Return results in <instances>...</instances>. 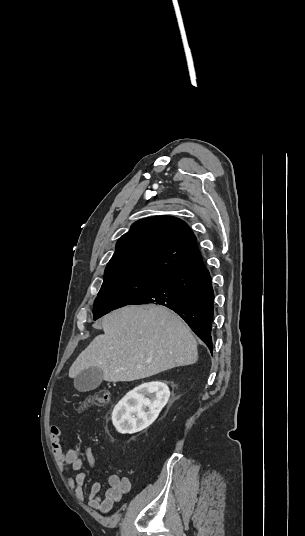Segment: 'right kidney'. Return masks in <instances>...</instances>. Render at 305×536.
I'll return each mask as SVG.
<instances>
[{
  "label": "right kidney",
  "mask_w": 305,
  "mask_h": 536,
  "mask_svg": "<svg viewBox=\"0 0 305 536\" xmlns=\"http://www.w3.org/2000/svg\"><path fill=\"white\" fill-rule=\"evenodd\" d=\"M145 396H151V400ZM169 398L170 390L164 382L141 384L115 406L112 414L113 426L120 434L141 432L158 418Z\"/></svg>",
  "instance_id": "right-kidney-1"
}]
</instances>
